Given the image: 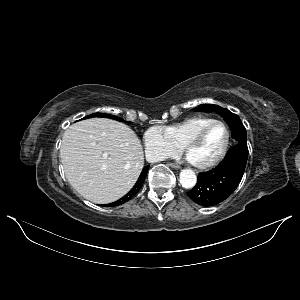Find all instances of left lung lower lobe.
Segmentation results:
<instances>
[{
  "label": "left lung lower lobe",
  "mask_w": 300,
  "mask_h": 300,
  "mask_svg": "<svg viewBox=\"0 0 300 300\" xmlns=\"http://www.w3.org/2000/svg\"><path fill=\"white\" fill-rule=\"evenodd\" d=\"M248 148L236 144L224 160L209 172L198 174L196 186L187 195L198 205L209 207L227 199L239 185L247 162Z\"/></svg>",
  "instance_id": "0a47b994"
}]
</instances>
